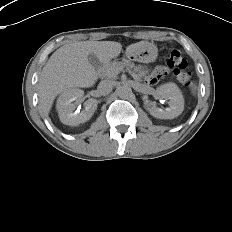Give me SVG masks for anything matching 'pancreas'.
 I'll return each mask as SVG.
<instances>
[{
    "label": "pancreas",
    "instance_id": "obj_1",
    "mask_svg": "<svg viewBox=\"0 0 232 232\" xmlns=\"http://www.w3.org/2000/svg\"><path fill=\"white\" fill-rule=\"evenodd\" d=\"M141 66L135 65L133 62H130L128 60L123 61H113L111 63H108L106 66L103 67V75L107 78H114L116 75L124 70H133L134 73H137V76L139 78L140 72H141Z\"/></svg>",
    "mask_w": 232,
    "mask_h": 232
}]
</instances>
